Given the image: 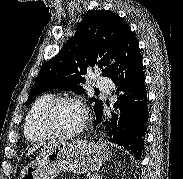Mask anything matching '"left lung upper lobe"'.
Segmentation results:
<instances>
[{
    "label": "left lung upper lobe",
    "instance_id": "left-lung-upper-lobe-1",
    "mask_svg": "<svg viewBox=\"0 0 183 179\" xmlns=\"http://www.w3.org/2000/svg\"><path fill=\"white\" fill-rule=\"evenodd\" d=\"M128 30L130 27L123 19L109 10L90 11L85 14L75 35L53 59L43 64L26 105H30L38 93L52 89L84 93L79 84L85 82L82 75H85L90 67L98 66L102 75L109 77L114 65H109L108 61L117 59ZM90 102L95 103L96 115L103 110L100 100L93 97Z\"/></svg>",
    "mask_w": 183,
    "mask_h": 179
}]
</instances>
